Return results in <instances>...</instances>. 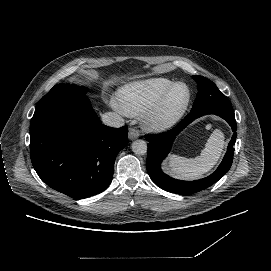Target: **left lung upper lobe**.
<instances>
[{
	"label": "left lung upper lobe",
	"instance_id": "left-lung-upper-lobe-1",
	"mask_svg": "<svg viewBox=\"0 0 271 271\" xmlns=\"http://www.w3.org/2000/svg\"><path fill=\"white\" fill-rule=\"evenodd\" d=\"M197 82L198 94L191 112L200 110H220L233 112L228 98L209 79L203 76H193Z\"/></svg>",
	"mask_w": 271,
	"mask_h": 271
}]
</instances>
